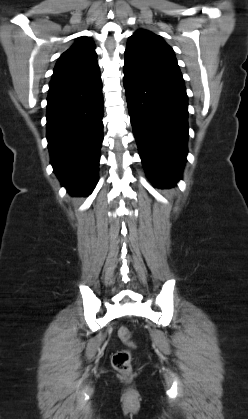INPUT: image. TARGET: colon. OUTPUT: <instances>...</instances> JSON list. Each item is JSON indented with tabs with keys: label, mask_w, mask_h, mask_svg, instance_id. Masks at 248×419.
Returning <instances> with one entry per match:
<instances>
[{
	"label": "colon",
	"mask_w": 248,
	"mask_h": 419,
	"mask_svg": "<svg viewBox=\"0 0 248 419\" xmlns=\"http://www.w3.org/2000/svg\"><path fill=\"white\" fill-rule=\"evenodd\" d=\"M119 338L129 347H134L130 331L126 327H120L117 332ZM132 355L129 349L115 352L112 356V365L118 372L128 374L131 371Z\"/></svg>",
	"instance_id": "1"
}]
</instances>
